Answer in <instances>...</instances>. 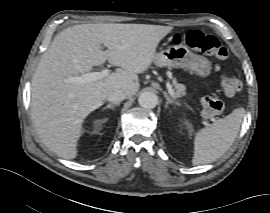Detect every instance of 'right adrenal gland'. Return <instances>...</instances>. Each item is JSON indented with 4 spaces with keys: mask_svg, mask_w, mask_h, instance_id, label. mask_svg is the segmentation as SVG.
<instances>
[{
    "mask_svg": "<svg viewBox=\"0 0 270 213\" xmlns=\"http://www.w3.org/2000/svg\"><path fill=\"white\" fill-rule=\"evenodd\" d=\"M119 103H112V104H108L106 107L103 108V110H106V109H112L114 110V107L115 106H118Z\"/></svg>",
    "mask_w": 270,
    "mask_h": 213,
    "instance_id": "obj_1",
    "label": "right adrenal gland"
}]
</instances>
